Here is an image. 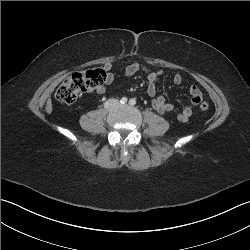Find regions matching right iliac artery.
Here are the masks:
<instances>
[{"instance_id":"right-iliac-artery-1","label":"right iliac artery","mask_w":250,"mask_h":250,"mask_svg":"<svg viewBox=\"0 0 250 250\" xmlns=\"http://www.w3.org/2000/svg\"><path fill=\"white\" fill-rule=\"evenodd\" d=\"M122 104H126L127 103V98L126 97H123L121 98V101H120Z\"/></svg>"}]
</instances>
